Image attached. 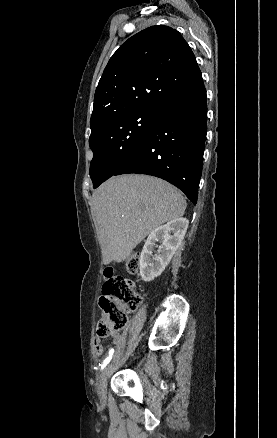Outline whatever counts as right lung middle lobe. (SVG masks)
<instances>
[{
    "label": "right lung middle lobe",
    "instance_id": "obj_1",
    "mask_svg": "<svg viewBox=\"0 0 277 438\" xmlns=\"http://www.w3.org/2000/svg\"><path fill=\"white\" fill-rule=\"evenodd\" d=\"M158 112V108L142 109L109 117L91 126L90 177L94 188L113 176L142 144Z\"/></svg>",
    "mask_w": 277,
    "mask_h": 438
}]
</instances>
